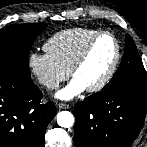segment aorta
Returning a JSON list of instances; mask_svg holds the SVG:
<instances>
[{"label":"aorta","instance_id":"1","mask_svg":"<svg viewBox=\"0 0 147 147\" xmlns=\"http://www.w3.org/2000/svg\"><path fill=\"white\" fill-rule=\"evenodd\" d=\"M57 123L60 127L70 128L74 123V116L69 111H61L57 114Z\"/></svg>","mask_w":147,"mask_h":147}]
</instances>
